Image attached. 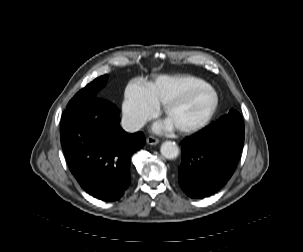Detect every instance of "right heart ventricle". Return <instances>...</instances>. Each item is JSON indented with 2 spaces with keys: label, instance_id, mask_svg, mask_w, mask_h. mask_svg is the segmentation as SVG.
Segmentation results:
<instances>
[{
  "label": "right heart ventricle",
  "instance_id": "e07e8e85",
  "mask_svg": "<svg viewBox=\"0 0 303 252\" xmlns=\"http://www.w3.org/2000/svg\"><path fill=\"white\" fill-rule=\"evenodd\" d=\"M202 83L192 77H158L153 84L145 87L150 100L160 106L181 99Z\"/></svg>",
  "mask_w": 303,
  "mask_h": 252
}]
</instances>
